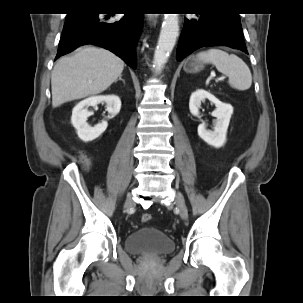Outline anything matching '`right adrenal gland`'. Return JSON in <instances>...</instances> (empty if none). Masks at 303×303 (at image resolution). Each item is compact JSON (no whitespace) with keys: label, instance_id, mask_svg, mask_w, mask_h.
<instances>
[{"label":"right adrenal gland","instance_id":"right-adrenal-gland-1","mask_svg":"<svg viewBox=\"0 0 303 303\" xmlns=\"http://www.w3.org/2000/svg\"><path fill=\"white\" fill-rule=\"evenodd\" d=\"M118 80H121L125 84V81L122 79V75L119 76ZM118 80H116L115 82H117Z\"/></svg>","mask_w":303,"mask_h":303}]
</instances>
